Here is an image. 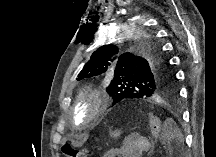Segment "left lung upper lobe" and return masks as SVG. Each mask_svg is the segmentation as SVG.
I'll return each mask as SVG.
<instances>
[{
  "label": "left lung upper lobe",
  "mask_w": 216,
  "mask_h": 157,
  "mask_svg": "<svg viewBox=\"0 0 216 157\" xmlns=\"http://www.w3.org/2000/svg\"><path fill=\"white\" fill-rule=\"evenodd\" d=\"M126 30L125 35H113V39H108L109 45L92 54L77 80L114 74L107 87L114 103L175 96L177 79L155 41V31H145V27Z\"/></svg>",
  "instance_id": "left-lung-upper-lobe-1"
}]
</instances>
